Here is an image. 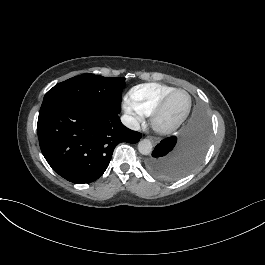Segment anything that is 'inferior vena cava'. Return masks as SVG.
I'll list each match as a JSON object with an SVG mask.
<instances>
[{"label": "inferior vena cava", "instance_id": "602c4592", "mask_svg": "<svg viewBox=\"0 0 265 265\" xmlns=\"http://www.w3.org/2000/svg\"><path fill=\"white\" fill-rule=\"evenodd\" d=\"M121 122L123 123V125H125L126 127H128L131 130L138 131L140 129L139 122L131 115L124 114L121 117Z\"/></svg>", "mask_w": 265, "mask_h": 265}]
</instances>
